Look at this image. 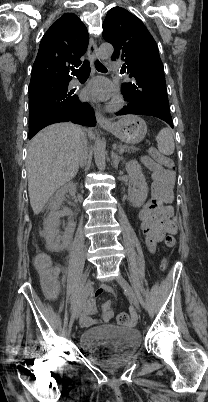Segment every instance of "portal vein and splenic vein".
<instances>
[{
    "label": "portal vein and splenic vein",
    "instance_id": "18ae733b",
    "mask_svg": "<svg viewBox=\"0 0 208 402\" xmlns=\"http://www.w3.org/2000/svg\"><path fill=\"white\" fill-rule=\"evenodd\" d=\"M119 148H120V149L117 151V154H118V155H121V154L124 152V149H123V148H124V145H123V144H120V145H119Z\"/></svg>",
    "mask_w": 208,
    "mask_h": 402
}]
</instances>
